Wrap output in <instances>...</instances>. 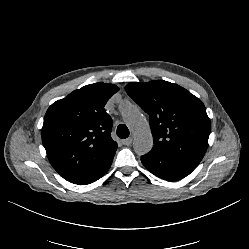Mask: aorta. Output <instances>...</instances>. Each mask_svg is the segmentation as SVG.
Returning <instances> with one entry per match:
<instances>
[{"instance_id":"obj_1","label":"aorta","mask_w":249,"mask_h":249,"mask_svg":"<svg viewBox=\"0 0 249 249\" xmlns=\"http://www.w3.org/2000/svg\"><path fill=\"white\" fill-rule=\"evenodd\" d=\"M120 111L126 124L133 133L134 151L138 155L147 154L153 147V137L148 121L137 107L130 102L122 103Z\"/></svg>"}]
</instances>
